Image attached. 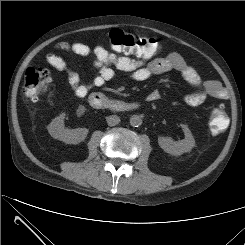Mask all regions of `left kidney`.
<instances>
[{
	"label": "left kidney",
	"mask_w": 245,
	"mask_h": 245,
	"mask_svg": "<svg viewBox=\"0 0 245 245\" xmlns=\"http://www.w3.org/2000/svg\"><path fill=\"white\" fill-rule=\"evenodd\" d=\"M185 138L181 141H173L171 138H160L159 145L167 153L171 155H181L191 151L195 146V139L191 131L186 125H181Z\"/></svg>",
	"instance_id": "obj_1"
}]
</instances>
